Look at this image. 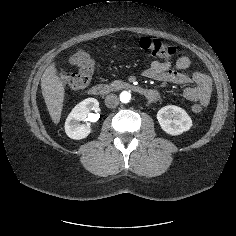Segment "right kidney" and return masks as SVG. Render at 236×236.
Here are the masks:
<instances>
[{
	"instance_id": "right-kidney-1",
	"label": "right kidney",
	"mask_w": 236,
	"mask_h": 236,
	"mask_svg": "<svg viewBox=\"0 0 236 236\" xmlns=\"http://www.w3.org/2000/svg\"><path fill=\"white\" fill-rule=\"evenodd\" d=\"M99 102L95 98H87L77 104L68 115L65 121V132L68 137L74 140L86 138L91 132V124L81 123L83 121H96L98 114H92L90 111L97 112Z\"/></svg>"
}]
</instances>
